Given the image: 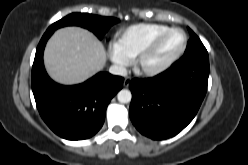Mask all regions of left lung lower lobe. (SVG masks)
Instances as JSON below:
<instances>
[{
  "instance_id": "1",
  "label": "left lung lower lobe",
  "mask_w": 248,
  "mask_h": 165,
  "mask_svg": "<svg viewBox=\"0 0 248 165\" xmlns=\"http://www.w3.org/2000/svg\"><path fill=\"white\" fill-rule=\"evenodd\" d=\"M209 57L206 48L185 53L165 72L133 79L129 115L136 129L156 140L183 130L195 117L207 91Z\"/></svg>"
}]
</instances>
